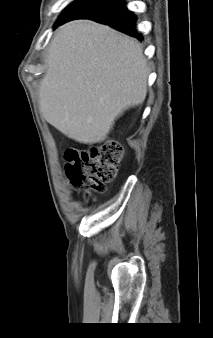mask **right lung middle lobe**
<instances>
[{
	"label": "right lung middle lobe",
	"mask_w": 213,
	"mask_h": 338,
	"mask_svg": "<svg viewBox=\"0 0 213 338\" xmlns=\"http://www.w3.org/2000/svg\"><path fill=\"white\" fill-rule=\"evenodd\" d=\"M93 0H74L70 3L60 15L58 21L56 22L55 26L60 25L67 17H69L74 11H76L81 6L92 2Z\"/></svg>",
	"instance_id": "1"
}]
</instances>
